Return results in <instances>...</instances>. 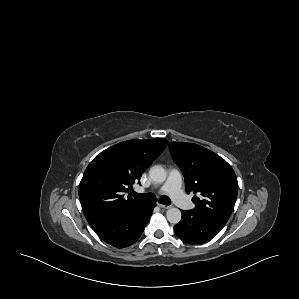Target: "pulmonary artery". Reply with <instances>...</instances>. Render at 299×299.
<instances>
[{"mask_svg": "<svg viewBox=\"0 0 299 299\" xmlns=\"http://www.w3.org/2000/svg\"><path fill=\"white\" fill-rule=\"evenodd\" d=\"M182 176L178 169L173 168L168 174L166 182L158 190L160 194H168L172 200L182 208L188 207L187 199L181 189Z\"/></svg>", "mask_w": 299, "mask_h": 299, "instance_id": "pulmonary-artery-1", "label": "pulmonary artery"}]
</instances>
